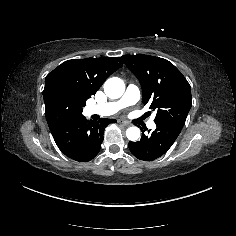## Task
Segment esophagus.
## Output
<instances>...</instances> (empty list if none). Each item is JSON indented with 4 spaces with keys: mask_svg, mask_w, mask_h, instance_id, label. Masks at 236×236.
I'll use <instances>...</instances> for the list:
<instances>
[{
    "mask_svg": "<svg viewBox=\"0 0 236 236\" xmlns=\"http://www.w3.org/2000/svg\"><path fill=\"white\" fill-rule=\"evenodd\" d=\"M118 123H119V124H122V125H124V126H130V125H131L130 122H128V121H123V120H118Z\"/></svg>",
    "mask_w": 236,
    "mask_h": 236,
    "instance_id": "1",
    "label": "esophagus"
}]
</instances>
